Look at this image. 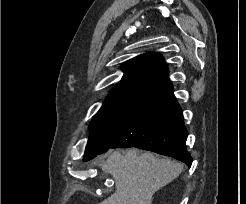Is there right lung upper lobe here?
Wrapping results in <instances>:
<instances>
[{"label":"right lung upper lobe","mask_w":246,"mask_h":204,"mask_svg":"<svg viewBox=\"0 0 246 204\" xmlns=\"http://www.w3.org/2000/svg\"><path fill=\"white\" fill-rule=\"evenodd\" d=\"M124 75L106 101L137 100L169 83L168 68L160 54L149 52L126 61Z\"/></svg>","instance_id":"1"}]
</instances>
